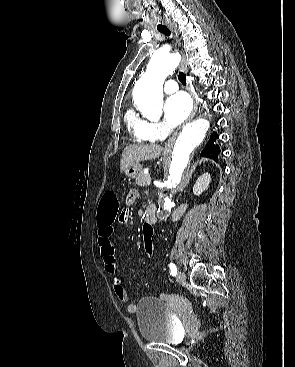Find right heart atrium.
Returning <instances> with one entry per match:
<instances>
[{
    "label": "right heart atrium",
    "instance_id": "1",
    "mask_svg": "<svg viewBox=\"0 0 295 367\" xmlns=\"http://www.w3.org/2000/svg\"><path fill=\"white\" fill-rule=\"evenodd\" d=\"M149 131L154 139H161L167 135L169 129L161 122H151L149 123Z\"/></svg>",
    "mask_w": 295,
    "mask_h": 367
}]
</instances>
